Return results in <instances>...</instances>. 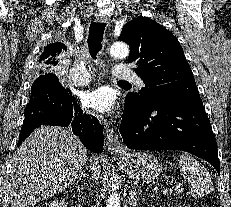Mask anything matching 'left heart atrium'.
I'll return each instance as SVG.
<instances>
[{"mask_svg": "<svg viewBox=\"0 0 231 207\" xmlns=\"http://www.w3.org/2000/svg\"><path fill=\"white\" fill-rule=\"evenodd\" d=\"M81 103L85 108L99 113H110L115 106L113 94L104 87L84 92Z\"/></svg>", "mask_w": 231, "mask_h": 207, "instance_id": "39dd6f15", "label": "left heart atrium"}]
</instances>
